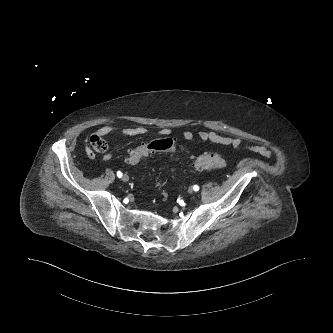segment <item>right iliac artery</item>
I'll return each mask as SVG.
<instances>
[{"instance_id":"obj_1","label":"right iliac artery","mask_w":333,"mask_h":333,"mask_svg":"<svg viewBox=\"0 0 333 333\" xmlns=\"http://www.w3.org/2000/svg\"><path fill=\"white\" fill-rule=\"evenodd\" d=\"M117 176H118L119 178H121V177H122V172L118 171V172H117Z\"/></svg>"}]
</instances>
